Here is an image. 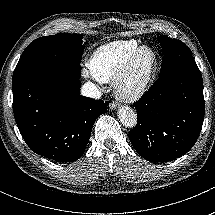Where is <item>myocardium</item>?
<instances>
[{
    "label": "myocardium",
    "instance_id": "myocardium-1",
    "mask_svg": "<svg viewBox=\"0 0 215 215\" xmlns=\"http://www.w3.org/2000/svg\"><path fill=\"white\" fill-rule=\"evenodd\" d=\"M144 50H149L151 52V59L140 69L136 80L133 83H130V79L136 68L138 57ZM157 65L158 55L152 46L140 45L136 47L114 76L113 91L115 96L122 101H135L139 99L147 91Z\"/></svg>",
    "mask_w": 215,
    "mask_h": 215
}]
</instances>
